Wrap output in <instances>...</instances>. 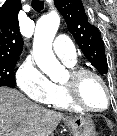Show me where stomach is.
Listing matches in <instances>:
<instances>
[{
    "label": "stomach",
    "instance_id": "stomach-1",
    "mask_svg": "<svg viewBox=\"0 0 117 136\" xmlns=\"http://www.w3.org/2000/svg\"><path fill=\"white\" fill-rule=\"evenodd\" d=\"M66 126L73 136H95V125L88 117H74L64 119Z\"/></svg>",
    "mask_w": 117,
    "mask_h": 136
}]
</instances>
